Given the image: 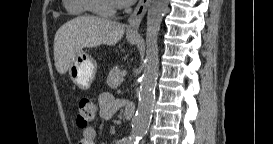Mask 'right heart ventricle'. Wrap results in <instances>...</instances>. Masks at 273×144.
Masks as SVG:
<instances>
[{
	"mask_svg": "<svg viewBox=\"0 0 273 144\" xmlns=\"http://www.w3.org/2000/svg\"><path fill=\"white\" fill-rule=\"evenodd\" d=\"M86 0H64L63 6L65 11L71 16H81L87 11L85 6Z\"/></svg>",
	"mask_w": 273,
	"mask_h": 144,
	"instance_id": "obj_1",
	"label": "right heart ventricle"
}]
</instances>
